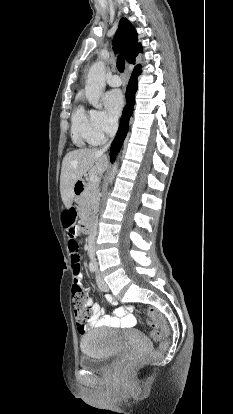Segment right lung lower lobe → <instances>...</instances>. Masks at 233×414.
I'll return each mask as SVG.
<instances>
[{
    "instance_id": "right-lung-lower-lobe-1",
    "label": "right lung lower lobe",
    "mask_w": 233,
    "mask_h": 414,
    "mask_svg": "<svg viewBox=\"0 0 233 414\" xmlns=\"http://www.w3.org/2000/svg\"><path fill=\"white\" fill-rule=\"evenodd\" d=\"M139 74H140L139 68L134 70L129 80V84L127 86V90H126L127 105L123 110L118 132L111 145V149H110L111 162L115 160V156L119 152V149L128 132V128H129L128 122H129V118L133 110V105L135 104V92L137 90V77Z\"/></svg>"
}]
</instances>
